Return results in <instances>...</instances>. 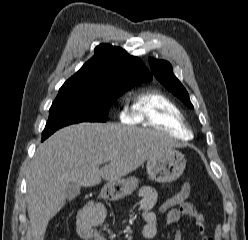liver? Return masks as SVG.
I'll return each mask as SVG.
<instances>
[{
    "instance_id": "obj_1",
    "label": "liver",
    "mask_w": 248,
    "mask_h": 240,
    "mask_svg": "<svg viewBox=\"0 0 248 240\" xmlns=\"http://www.w3.org/2000/svg\"><path fill=\"white\" fill-rule=\"evenodd\" d=\"M178 146L166 135L111 123L64 127L40 144L30 165L27 211L32 240H44L49 221L65 204L70 185L117 181L146 160ZM105 164L99 168L100 164Z\"/></svg>"
}]
</instances>
